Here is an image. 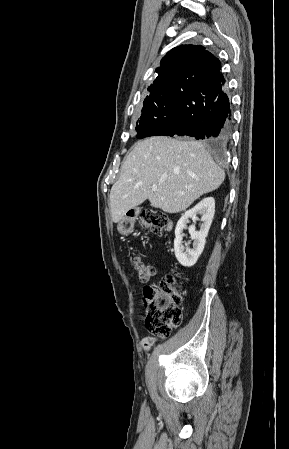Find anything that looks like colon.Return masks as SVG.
I'll return each mask as SVG.
<instances>
[{
	"label": "colon",
	"instance_id": "obj_1",
	"mask_svg": "<svg viewBox=\"0 0 289 449\" xmlns=\"http://www.w3.org/2000/svg\"><path fill=\"white\" fill-rule=\"evenodd\" d=\"M167 223L166 216L159 211L145 210L141 213L140 224L154 232H160ZM127 226L130 221L125 223ZM133 266L141 280H148L155 274L151 262L139 257L133 259ZM144 321L146 328L155 336L168 337L182 321V297L178 292L173 274L154 286H146L143 291Z\"/></svg>",
	"mask_w": 289,
	"mask_h": 449
}]
</instances>
